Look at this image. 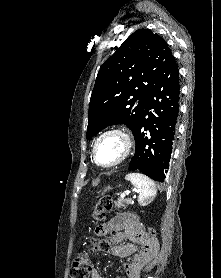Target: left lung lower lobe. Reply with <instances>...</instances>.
<instances>
[{
  "label": "left lung lower lobe",
  "instance_id": "left-lung-lower-lobe-1",
  "mask_svg": "<svg viewBox=\"0 0 221 278\" xmlns=\"http://www.w3.org/2000/svg\"><path fill=\"white\" fill-rule=\"evenodd\" d=\"M179 100V70L172 57L146 97L144 112L133 133L136 150L129 170H138L156 181H164L176 134Z\"/></svg>",
  "mask_w": 221,
  "mask_h": 278
}]
</instances>
